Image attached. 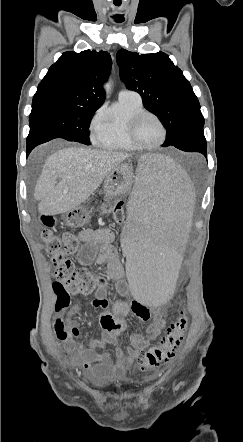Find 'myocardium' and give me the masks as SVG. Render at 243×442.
Segmentation results:
<instances>
[{"instance_id": "f54148a6", "label": "myocardium", "mask_w": 243, "mask_h": 442, "mask_svg": "<svg viewBox=\"0 0 243 442\" xmlns=\"http://www.w3.org/2000/svg\"><path fill=\"white\" fill-rule=\"evenodd\" d=\"M148 116L153 117L159 123V125H160V127L162 129V137L154 145H144V144H142L141 142H139V140L137 139V135H136V130H137V126H138L139 122L143 118L148 117ZM167 135H168V131H167V127H166L164 121L155 112L144 110V111L136 114L129 122L128 138H129L131 144L134 147H136L137 149H141V150H155V149H158L166 141Z\"/></svg>"}]
</instances>
